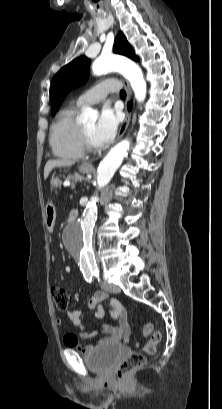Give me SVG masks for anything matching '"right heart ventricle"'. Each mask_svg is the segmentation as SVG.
Masks as SVG:
<instances>
[{
    "mask_svg": "<svg viewBox=\"0 0 222 409\" xmlns=\"http://www.w3.org/2000/svg\"><path fill=\"white\" fill-rule=\"evenodd\" d=\"M82 106L77 103L64 107L57 115L50 130V144L53 153L65 160L83 156L80 144V123L77 120Z\"/></svg>",
    "mask_w": 222,
    "mask_h": 409,
    "instance_id": "e07e8e85",
    "label": "right heart ventricle"
}]
</instances>
